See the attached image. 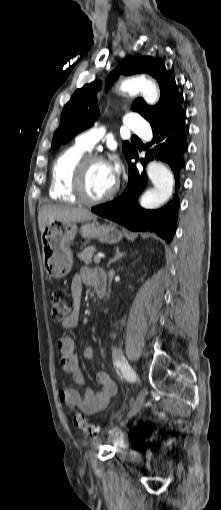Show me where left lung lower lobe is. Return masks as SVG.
<instances>
[{"instance_id":"obj_1","label":"left lung lower lobe","mask_w":221,"mask_h":510,"mask_svg":"<svg viewBox=\"0 0 221 510\" xmlns=\"http://www.w3.org/2000/svg\"><path fill=\"white\" fill-rule=\"evenodd\" d=\"M186 113L168 117L151 123L154 139L149 146L146 157L140 162L145 167L149 160L164 161L171 167L176 182V190L180 185L179 173L184 166L183 153L187 149L186 136L189 131L185 124ZM131 158L138 160L137 150L128 159L129 180L123 194L117 199L93 207L92 212L111 219L132 231H151L170 242L174 236L175 224L179 208V199L174 194L172 201L159 210H145L138 204V196L147 183L145 172H139Z\"/></svg>"}]
</instances>
